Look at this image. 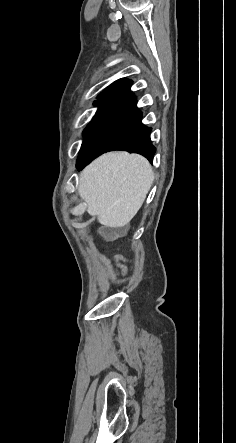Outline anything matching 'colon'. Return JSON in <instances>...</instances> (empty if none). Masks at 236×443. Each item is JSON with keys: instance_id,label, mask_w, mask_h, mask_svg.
<instances>
[{"instance_id": "colon-1", "label": "colon", "mask_w": 236, "mask_h": 443, "mask_svg": "<svg viewBox=\"0 0 236 443\" xmlns=\"http://www.w3.org/2000/svg\"><path fill=\"white\" fill-rule=\"evenodd\" d=\"M124 233H125V228L120 227V228H116V229L107 231L106 236L108 239L112 240V239H116V238L121 237L122 235H124Z\"/></svg>"}]
</instances>
